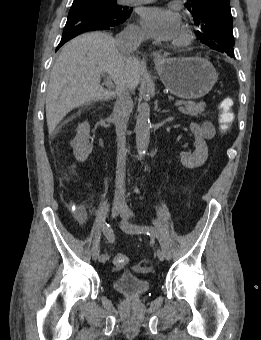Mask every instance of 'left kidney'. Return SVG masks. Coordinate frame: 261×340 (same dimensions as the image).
<instances>
[{
    "mask_svg": "<svg viewBox=\"0 0 261 340\" xmlns=\"http://www.w3.org/2000/svg\"><path fill=\"white\" fill-rule=\"evenodd\" d=\"M190 130L195 137V151L191 153H180V160L184 167L193 169L202 166L208 158V147L204 140L200 126L196 123L190 124Z\"/></svg>",
    "mask_w": 261,
    "mask_h": 340,
    "instance_id": "1",
    "label": "left kidney"
}]
</instances>
